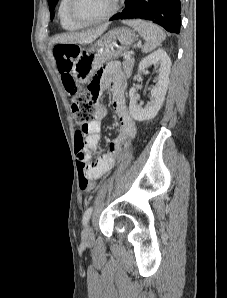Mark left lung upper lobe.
<instances>
[{"label": "left lung upper lobe", "mask_w": 227, "mask_h": 298, "mask_svg": "<svg viewBox=\"0 0 227 298\" xmlns=\"http://www.w3.org/2000/svg\"><path fill=\"white\" fill-rule=\"evenodd\" d=\"M58 0H48L49 9L51 12V19L53 18V11Z\"/></svg>", "instance_id": "5c2ea615"}]
</instances>
